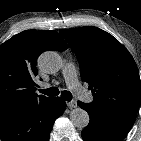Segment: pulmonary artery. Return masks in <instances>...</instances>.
Returning <instances> with one entry per match:
<instances>
[{
	"mask_svg": "<svg viewBox=\"0 0 141 141\" xmlns=\"http://www.w3.org/2000/svg\"><path fill=\"white\" fill-rule=\"evenodd\" d=\"M63 76L67 86L81 99L85 101L91 100L89 93L81 86L77 78L75 66L72 63H67L63 68ZM47 87V85H43Z\"/></svg>",
	"mask_w": 141,
	"mask_h": 141,
	"instance_id": "obj_1",
	"label": "pulmonary artery"
}]
</instances>
